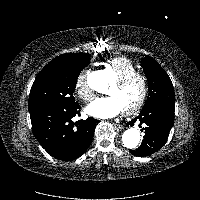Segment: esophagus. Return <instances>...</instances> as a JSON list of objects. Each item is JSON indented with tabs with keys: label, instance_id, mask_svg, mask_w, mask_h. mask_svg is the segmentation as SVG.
Segmentation results:
<instances>
[{
	"label": "esophagus",
	"instance_id": "obj_1",
	"mask_svg": "<svg viewBox=\"0 0 200 200\" xmlns=\"http://www.w3.org/2000/svg\"><path fill=\"white\" fill-rule=\"evenodd\" d=\"M114 127L117 129H123V125L122 124H118V123H113Z\"/></svg>",
	"mask_w": 200,
	"mask_h": 200
}]
</instances>
